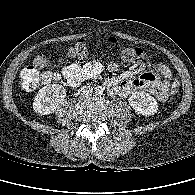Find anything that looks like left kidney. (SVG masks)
I'll return each instance as SVG.
<instances>
[{"label": "left kidney", "mask_w": 195, "mask_h": 195, "mask_svg": "<svg viewBox=\"0 0 195 195\" xmlns=\"http://www.w3.org/2000/svg\"><path fill=\"white\" fill-rule=\"evenodd\" d=\"M128 101L137 114L151 116L158 110V103L155 98L144 91L132 93Z\"/></svg>", "instance_id": "5707ae66"}]
</instances>
